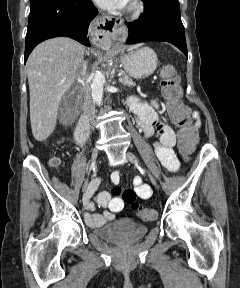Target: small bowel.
Wrapping results in <instances>:
<instances>
[{
	"label": "small bowel",
	"instance_id": "small-bowel-1",
	"mask_svg": "<svg viewBox=\"0 0 240 288\" xmlns=\"http://www.w3.org/2000/svg\"><path fill=\"white\" fill-rule=\"evenodd\" d=\"M131 110L136 115L137 125L143 132L145 138L156 135L158 141L154 143L155 153L162 165L170 172H174L179 168V161L174 153L173 147L176 137L173 129L166 123L162 116V107L157 99L150 102H144L136 97H130L128 100ZM195 119L194 128L200 127V120L197 113L193 114ZM111 180L115 185L120 182V172L114 171L111 174ZM99 186V180L94 181L84 198V206L87 210L85 213V221L91 227H98L104 223L111 221L114 214L121 211L124 207L123 200L120 197L121 189L115 186L111 192L102 191L98 193L96 201L102 208L106 210L102 214L92 213L93 204L91 198ZM134 192L141 199H148L152 190L151 187L144 183L142 178L136 176L133 180Z\"/></svg>",
	"mask_w": 240,
	"mask_h": 288
}]
</instances>
